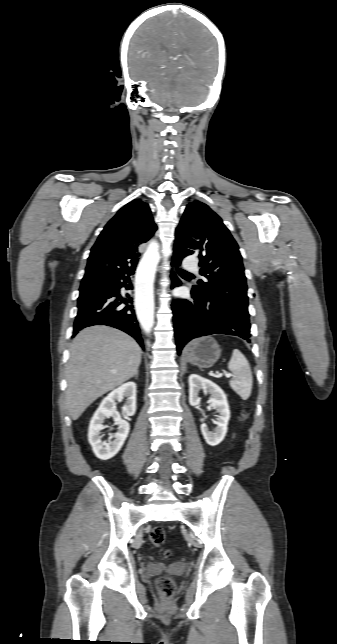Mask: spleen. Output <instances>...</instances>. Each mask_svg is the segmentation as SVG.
Listing matches in <instances>:
<instances>
[{
  "label": "spleen",
  "instance_id": "1",
  "mask_svg": "<svg viewBox=\"0 0 337 644\" xmlns=\"http://www.w3.org/2000/svg\"><path fill=\"white\" fill-rule=\"evenodd\" d=\"M228 369L234 374V379L229 382L230 387L243 400L248 399L252 391V371L247 359L238 349L233 350Z\"/></svg>",
  "mask_w": 337,
  "mask_h": 644
}]
</instances>
